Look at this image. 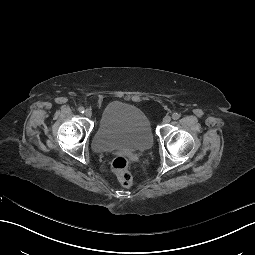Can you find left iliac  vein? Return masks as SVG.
<instances>
[{"instance_id":"1","label":"left iliac vein","mask_w":255,"mask_h":255,"mask_svg":"<svg viewBox=\"0 0 255 255\" xmlns=\"http://www.w3.org/2000/svg\"><path fill=\"white\" fill-rule=\"evenodd\" d=\"M170 121H171V117L168 115L163 118V123L165 124H168Z\"/></svg>"}]
</instances>
